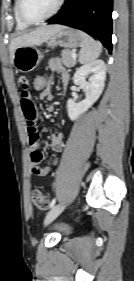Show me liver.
Masks as SVG:
<instances>
[{"label":"liver","mask_w":134,"mask_h":281,"mask_svg":"<svg viewBox=\"0 0 134 281\" xmlns=\"http://www.w3.org/2000/svg\"><path fill=\"white\" fill-rule=\"evenodd\" d=\"M63 26L61 25H49L42 26L29 33H24L11 41L10 44V56L11 62L14 51L19 47L24 46H35L46 42L50 37H52L55 33L60 31Z\"/></svg>","instance_id":"6515ba94"}]
</instances>
